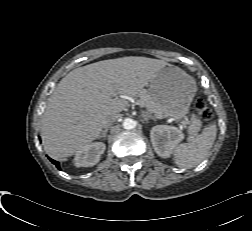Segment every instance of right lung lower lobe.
Instances as JSON below:
<instances>
[{
    "instance_id": "1",
    "label": "right lung lower lobe",
    "mask_w": 252,
    "mask_h": 231,
    "mask_svg": "<svg viewBox=\"0 0 252 231\" xmlns=\"http://www.w3.org/2000/svg\"><path fill=\"white\" fill-rule=\"evenodd\" d=\"M50 161L59 169L60 166H59V162L53 160V159H50Z\"/></svg>"
}]
</instances>
